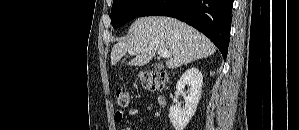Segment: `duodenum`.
<instances>
[{
    "label": "duodenum",
    "instance_id": "duodenum-1",
    "mask_svg": "<svg viewBox=\"0 0 299 130\" xmlns=\"http://www.w3.org/2000/svg\"><path fill=\"white\" fill-rule=\"evenodd\" d=\"M158 103L161 105V106H164L166 104V98L164 96H160L158 98Z\"/></svg>",
    "mask_w": 299,
    "mask_h": 130
}]
</instances>
